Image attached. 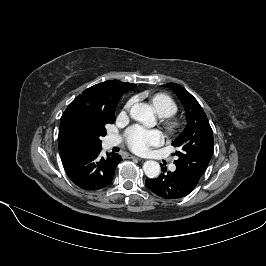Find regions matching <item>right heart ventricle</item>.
<instances>
[{
    "label": "right heart ventricle",
    "instance_id": "right-heart-ventricle-1",
    "mask_svg": "<svg viewBox=\"0 0 266 266\" xmlns=\"http://www.w3.org/2000/svg\"><path fill=\"white\" fill-rule=\"evenodd\" d=\"M152 105L156 113L162 117H170L178 110V106L175 101L168 95L163 93H157L151 97Z\"/></svg>",
    "mask_w": 266,
    "mask_h": 266
}]
</instances>
